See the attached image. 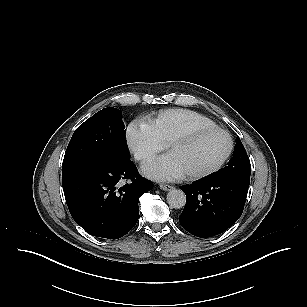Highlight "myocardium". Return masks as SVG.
I'll return each instance as SVG.
<instances>
[{"mask_svg":"<svg viewBox=\"0 0 307 307\" xmlns=\"http://www.w3.org/2000/svg\"><path fill=\"white\" fill-rule=\"evenodd\" d=\"M209 132H221V133L226 134L230 142L229 149L227 153L225 154V156L222 158V160L219 163H217L215 166L207 170L201 171V172L186 174L183 177L185 180L193 181V180L202 179V178L208 177L220 171L224 167V165L227 163V161L230 159V157L232 156L234 152L235 141H234L232 134L228 130L220 126H217V125L200 127V128H195V129L187 131L185 134L179 136L178 138L174 139L173 141H171L165 146V150L167 152L170 150L176 149V148L184 147L190 144L192 141H194L199 136L204 135Z\"/></svg>","mask_w":307,"mask_h":307,"instance_id":"obj_1","label":"myocardium"}]
</instances>
